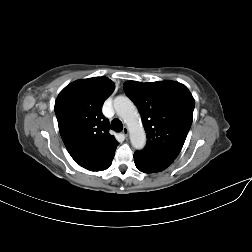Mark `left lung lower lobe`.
Returning <instances> with one entry per match:
<instances>
[{"label": "left lung lower lobe", "mask_w": 252, "mask_h": 252, "mask_svg": "<svg viewBox=\"0 0 252 252\" xmlns=\"http://www.w3.org/2000/svg\"><path fill=\"white\" fill-rule=\"evenodd\" d=\"M136 167L144 173H157L169 167L174 159L153 150H140L134 153Z\"/></svg>", "instance_id": "left-lung-lower-lobe-1"}]
</instances>
